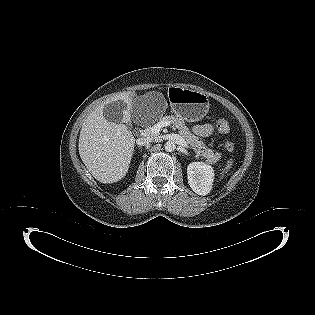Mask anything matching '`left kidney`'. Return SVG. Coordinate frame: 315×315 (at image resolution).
Here are the masks:
<instances>
[{
    "mask_svg": "<svg viewBox=\"0 0 315 315\" xmlns=\"http://www.w3.org/2000/svg\"><path fill=\"white\" fill-rule=\"evenodd\" d=\"M188 184L198 195L210 193L214 180V169L203 162H192L187 167Z\"/></svg>",
    "mask_w": 315,
    "mask_h": 315,
    "instance_id": "left-kidney-1",
    "label": "left kidney"
}]
</instances>
